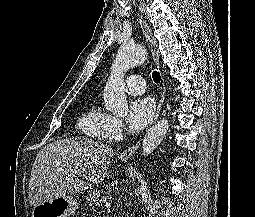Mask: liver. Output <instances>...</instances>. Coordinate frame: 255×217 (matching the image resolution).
Listing matches in <instances>:
<instances>
[{
    "label": "liver",
    "mask_w": 255,
    "mask_h": 217,
    "mask_svg": "<svg viewBox=\"0 0 255 217\" xmlns=\"http://www.w3.org/2000/svg\"><path fill=\"white\" fill-rule=\"evenodd\" d=\"M114 151L86 138L59 140L36 156L28 187L32 206L71 195L102 182Z\"/></svg>",
    "instance_id": "6515ba94"
}]
</instances>
